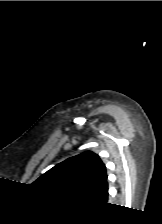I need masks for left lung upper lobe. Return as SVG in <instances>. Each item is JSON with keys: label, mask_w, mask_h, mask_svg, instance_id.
<instances>
[{"label": "left lung upper lobe", "mask_w": 162, "mask_h": 224, "mask_svg": "<svg viewBox=\"0 0 162 224\" xmlns=\"http://www.w3.org/2000/svg\"><path fill=\"white\" fill-rule=\"evenodd\" d=\"M106 181L105 164L97 154L87 151L57 164L32 185L59 196L87 199Z\"/></svg>", "instance_id": "1"}]
</instances>
